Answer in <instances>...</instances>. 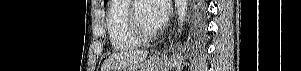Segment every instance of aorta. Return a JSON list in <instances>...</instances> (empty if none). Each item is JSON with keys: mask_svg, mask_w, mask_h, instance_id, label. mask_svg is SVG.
Wrapping results in <instances>:
<instances>
[{"mask_svg": "<svg viewBox=\"0 0 301 71\" xmlns=\"http://www.w3.org/2000/svg\"><path fill=\"white\" fill-rule=\"evenodd\" d=\"M189 0H176V14L178 23V32L181 33L183 30L184 22L187 17Z\"/></svg>", "mask_w": 301, "mask_h": 71, "instance_id": "762f6f07", "label": "aorta"}]
</instances>
